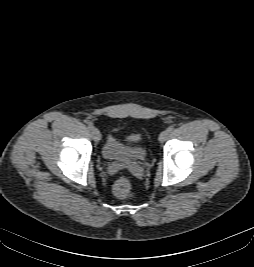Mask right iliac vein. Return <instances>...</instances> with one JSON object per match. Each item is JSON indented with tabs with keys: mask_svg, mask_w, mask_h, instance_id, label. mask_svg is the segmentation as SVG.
Here are the masks:
<instances>
[{
	"mask_svg": "<svg viewBox=\"0 0 254 267\" xmlns=\"http://www.w3.org/2000/svg\"><path fill=\"white\" fill-rule=\"evenodd\" d=\"M92 136L94 141L99 142L101 139L100 131L97 128H94L91 130Z\"/></svg>",
	"mask_w": 254,
	"mask_h": 267,
	"instance_id": "1",
	"label": "right iliac vein"
}]
</instances>
